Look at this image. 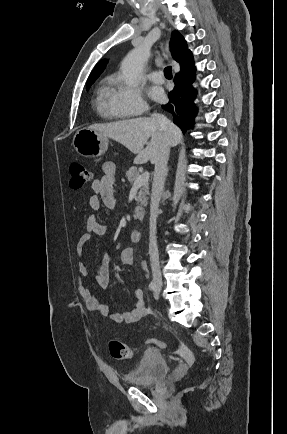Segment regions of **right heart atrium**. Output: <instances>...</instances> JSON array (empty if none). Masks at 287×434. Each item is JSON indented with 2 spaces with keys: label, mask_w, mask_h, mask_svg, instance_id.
<instances>
[{
  "label": "right heart atrium",
  "mask_w": 287,
  "mask_h": 434,
  "mask_svg": "<svg viewBox=\"0 0 287 434\" xmlns=\"http://www.w3.org/2000/svg\"><path fill=\"white\" fill-rule=\"evenodd\" d=\"M111 101L114 109L122 116L139 115L147 110V103L141 89L119 79L114 81Z\"/></svg>",
  "instance_id": "obj_1"
}]
</instances>
